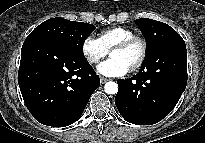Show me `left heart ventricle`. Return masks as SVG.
Returning <instances> with one entry per match:
<instances>
[{"label":"left heart ventricle","instance_id":"b2bd125f","mask_svg":"<svg viewBox=\"0 0 205 143\" xmlns=\"http://www.w3.org/2000/svg\"><path fill=\"white\" fill-rule=\"evenodd\" d=\"M140 51V46L138 44H134L125 50H115L110 54V56L120 60L130 68L138 60Z\"/></svg>","mask_w":205,"mask_h":143}]
</instances>
